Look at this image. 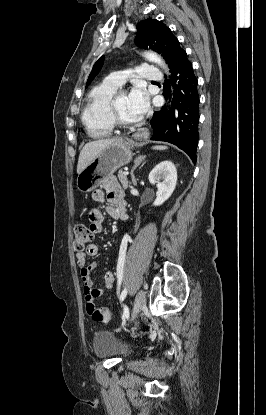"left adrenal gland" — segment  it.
Wrapping results in <instances>:
<instances>
[{"label": "left adrenal gland", "mask_w": 266, "mask_h": 415, "mask_svg": "<svg viewBox=\"0 0 266 415\" xmlns=\"http://www.w3.org/2000/svg\"><path fill=\"white\" fill-rule=\"evenodd\" d=\"M145 156H139L134 160V167L131 170V179L134 185H136V180L134 176V170L145 160Z\"/></svg>", "instance_id": "obj_1"}]
</instances>
